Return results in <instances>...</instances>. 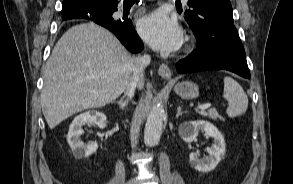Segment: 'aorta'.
Segmentation results:
<instances>
[{"instance_id": "obj_1", "label": "aorta", "mask_w": 293, "mask_h": 184, "mask_svg": "<svg viewBox=\"0 0 293 184\" xmlns=\"http://www.w3.org/2000/svg\"><path fill=\"white\" fill-rule=\"evenodd\" d=\"M164 117V108L161 103L151 108L144 130V142L147 146H154L159 142L162 134Z\"/></svg>"}]
</instances>
